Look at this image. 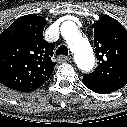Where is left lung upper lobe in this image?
Instances as JSON below:
<instances>
[{
	"label": "left lung upper lobe",
	"instance_id": "1",
	"mask_svg": "<svg viewBox=\"0 0 127 127\" xmlns=\"http://www.w3.org/2000/svg\"><path fill=\"white\" fill-rule=\"evenodd\" d=\"M94 46L98 66L84 78L107 81L122 88L127 84V31L104 15L94 23Z\"/></svg>",
	"mask_w": 127,
	"mask_h": 127
}]
</instances>
